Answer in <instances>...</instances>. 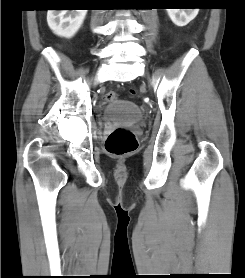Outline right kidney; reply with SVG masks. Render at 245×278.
I'll list each match as a JSON object with an SVG mask.
<instances>
[{
    "label": "right kidney",
    "mask_w": 245,
    "mask_h": 278,
    "mask_svg": "<svg viewBox=\"0 0 245 278\" xmlns=\"http://www.w3.org/2000/svg\"><path fill=\"white\" fill-rule=\"evenodd\" d=\"M87 10H48L47 23L58 36L71 38L80 29Z\"/></svg>",
    "instance_id": "obj_1"
}]
</instances>
